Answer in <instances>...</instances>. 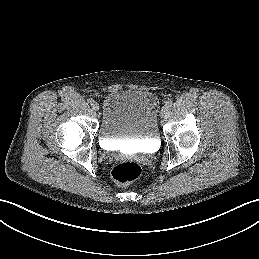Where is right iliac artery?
<instances>
[{"mask_svg": "<svg viewBox=\"0 0 259 259\" xmlns=\"http://www.w3.org/2000/svg\"><path fill=\"white\" fill-rule=\"evenodd\" d=\"M88 103H90L91 105L94 103V100L92 98H89L88 100Z\"/></svg>", "mask_w": 259, "mask_h": 259, "instance_id": "obj_1", "label": "right iliac artery"}]
</instances>
